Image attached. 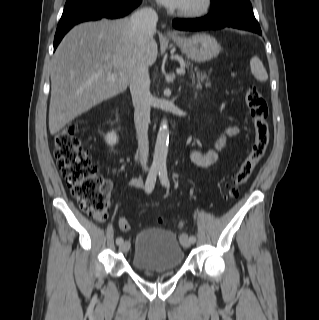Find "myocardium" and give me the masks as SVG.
I'll return each instance as SVG.
<instances>
[{
    "label": "myocardium",
    "mask_w": 319,
    "mask_h": 320,
    "mask_svg": "<svg viewBox=\"0 0 319 320\" xmlns=\"http://www.w3.org/2000/svg\"><path fill=\"white\" fill-rule=\"evenodd\" d=\"M213 5V0H196L190 8L181 9L178 14L182 17H200L208 13Z\"/></svg>",
    "instance_id": "1"
}]
</instances>
